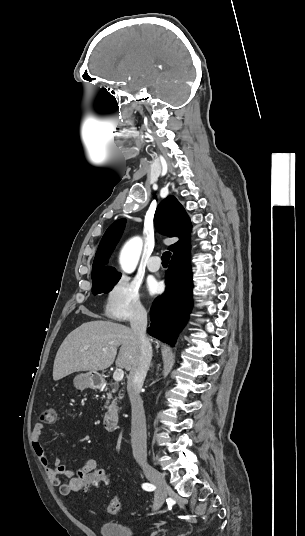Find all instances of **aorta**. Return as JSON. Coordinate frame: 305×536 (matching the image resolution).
Listing matches in <instances>:
<instances>
[{"label":"aorta","instance_id":"762f6f07","mask_svg":"<svg viewBox=\"0 0 305 536\" xmlns=\"http://www.w3.org/2000/svg\"><path fill=\"white\" fill-rule=\"evenodd\" d=\"M143 242L140 237L130 239L120 253V265L124 272L132 273L138 264Z\"/></svg>","mask_w":305,"mask_h":536}]
</instances>
